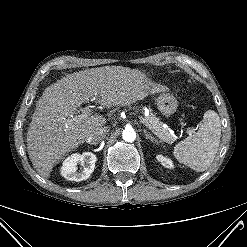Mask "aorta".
Masks as SVG:
<instances>
[{"mask_svg": "<svg viewBox=\"0 0 247 247\" xmlns=\"http://www.w3.org/2000/svg\"><path fill=\"white\" fill-rule=\"evenodd\" d=\"M122 138L126 142H133L136 139V132L132 128H126L122 132Z\"/></svg>", "mask_w": 247, "mask_h": 247, "instance_id": "aorta-1", "label": "aorta"}]
</instances>
